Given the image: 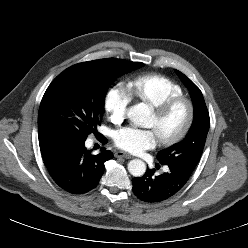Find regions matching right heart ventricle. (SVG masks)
Returning <instances> with one entry per match:
<instances>
[{"instance_id":"obj_1","label":"right heart ventricle","mask_w":248,"mask_h":248,"mask_svg":"<svg viewBox=\"0 0 248 248\" xmlns=\"http://www.w3.org/2000/svg\"><path fill=\"white\" fill-rule=\"evenodd\" d=\"M128 92L131 97L142 100L153 107L169 98L184 94L181 85L158 74H144L134 77L128 82Z\"/></svg>"}]
</instances>
